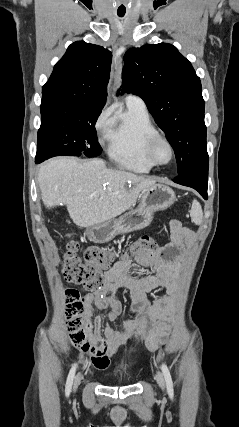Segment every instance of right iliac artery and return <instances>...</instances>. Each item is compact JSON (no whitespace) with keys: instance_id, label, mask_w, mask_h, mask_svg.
I'll use <instances>...</instances> for the list:
<instances>
[{"instance_id":"1","label":"right iliac artery","mask_w":239,"mask_h":427,"mask_svg":"<svg viewBox=\"0 0 239 427\" xmlns=\"http://www.w3.org/2000/svg\"><path fill=\"white\" fill-rule=\"evenodd\" d=\"M76 364H74L68 374V378H67V382H66V388H65V393L66 396L68 397L70 392H71V388H72V384H73V379L75 376V372H76Z\"/></svg>"}]
</instances>
